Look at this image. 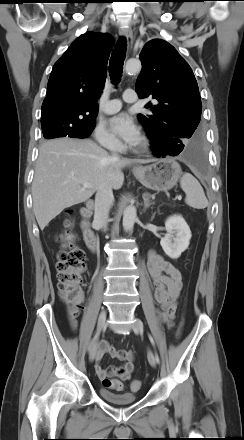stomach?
<instances>
[{
	"label": "stomach",
	"instance_id": "obj_1",
	"mask_svg": "<svg viewBox=\"0 0 244 440\" xmlns=\"http://www.w3.org/2000/svg\"><path fill=\"white\" fill-rule=\"evenodd\" d=\"M134 176L145 187L155 191H168L178 182L182 170L174 159L162 158L148 166L133 169Z\"/></svg>",
	"mask_w": 244,
	"mask_h": 440
}]
</instances>
